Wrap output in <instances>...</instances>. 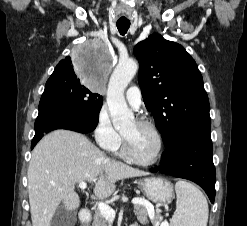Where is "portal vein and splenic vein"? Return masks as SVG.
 Segmentation results:
<instances>
[{
  "label": "portal vein and splenic vein",
  "mask_w": 247,
  "mask_h": 226,
  "mask_svg": "<svg viewBox=\"0 0 247 226\" xmlns=\"http://www.w3.org/2000/svg\"><path fill=\"white\" fill-rule=\"evenodd\" d=\"M79 188L81 190H85L87 188V183L85 181L79 183ZM133 204H142L146 205L147 202L142 198H133L132 199ZM98 210L101 212V214L107 219V220H113L115 218V210H113L109 205L105 203H98ZM149 210L151 212H154V208L152 205L149 206ZM161 226H169L167 221H164Z\"/></svg>",
  "instance_id": "portal-vein-and-splenic-vein-1"
}]
</instances>
